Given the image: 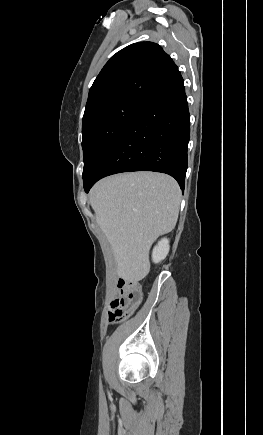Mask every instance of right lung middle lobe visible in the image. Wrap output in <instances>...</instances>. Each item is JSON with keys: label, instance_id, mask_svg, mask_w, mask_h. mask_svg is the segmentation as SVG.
<instances>
[{"label": "right lung middle lobe", "instance_id": "obj_1", "mask_svg": "<svg viewBox=\"0 0 263 435\" xmlns=\"http://www.w3.org/2000/svg\"><path fill=\"white\" fill-rule=\"evenodd\" d=\"M142 105L132 100L104 104L83 119L84 181L92 177Z\"/></svg>", "mask_w": 263, "mask_h": 435}]
</instances>
